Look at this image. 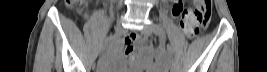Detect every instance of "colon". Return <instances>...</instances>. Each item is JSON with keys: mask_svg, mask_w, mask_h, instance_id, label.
<instances>
[{"mask_svg": "<svg viewBox=\"0 0 267 72\" xmlns=\"http://www.w3.org/2000/svg\"><path fill=\"white\" fill-rule=\"evenodd\" d=\"M88 2V0H67V4L80 13L85 12ZM194 4L195 8L190 9L189 13L196 18V23L183 26L180 21L181 26L189 37L198 35L201 29L208 25L211 18V0H195ZM173 10L176 12L180 11L179 1L174 2Z\"/></svg>", "mask_w": 267, "mask_h": 72, "instance_id": "5ec220e1", "label": "colon"}]
</instances>
